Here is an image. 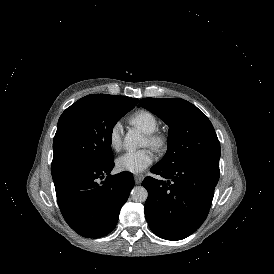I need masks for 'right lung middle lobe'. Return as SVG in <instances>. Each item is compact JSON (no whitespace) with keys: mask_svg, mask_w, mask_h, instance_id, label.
Returning <instances> with one entry per match:
<instances>
[{"mask_svg":"<svg viewBox=\"0 0 274 274\" xmlns=\"http://www.w3.org/2000/svg\"><path fill=\"white\" fill-rule=\"evenodd\" d=\"M136 105L130 97L113 96L77 101L68 107L58 121L51 170L76 164L102 166L112 162L113 127Z\"/></svg>","mask_w":274,"mask_h":274,"instance_id":"right-lung-middle-lobe-1","label":"right lung middle lobe"}]
</instances>
